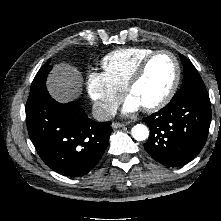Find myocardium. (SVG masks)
Wrapping results in <instances>:
<instances>
[{
    "instance_id": "obj_1",
    "label": "myocardium",
    "mask_w": 221,
    "mask_h": 221,
    "mask_svg": "<svg viewBox=\"0 0 221 221\" xmlns=\"http://www.w3.org/2000/svg\"><path fill=\"white\" fill-rule=\"evenodd\" d=\"M160 54H167L169 55L175 65V75L172 81L171 86L169 87L168 91L165 93V95L158 100L157 102L150 104V105H146L143 106V109L145 111L148 112H153V111H157L161 108H163L164 106H166L170 100L173 98V96L175 95L177 88L179 86V82L181 79V65L180 62L178 60V58L176 57V55L166 49H159V50H155L152 53H150L149 55H147L136 67L135 71L133 72L130 80L128 81L125 91L128 95L131 94L133 88L141 81V79L143 78L148 65L150 64V62L158 55Z\"/></svg>"
}]
</instances>
